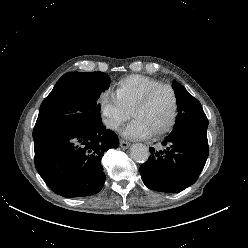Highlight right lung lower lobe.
Segmentation results:
<instances>
[{"instance_id":"98d812e1","label":"right lung lower lobe","mask_w":248,"mask_h":248,"mask_svg":"<svg viewBox=\"0 0 248 248\" xmlns=\"http://www.w3.org/2000/svg\"><path fill=\"white\" fill-rule=\"evenodd\" d=\"M35 166L56 194L67 198L98 193L106 175L104 152L118 147V137L105 126L36 124L33 130Z\"/></svg>"}]
</instances>
